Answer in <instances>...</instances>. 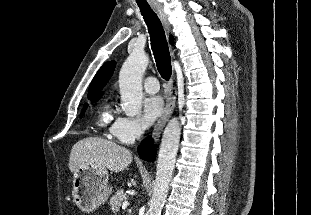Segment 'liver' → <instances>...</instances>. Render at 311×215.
<instances>
[{
  "mask_svg": "<svg viewBox=\"0 0 311 215\" xmlns=\"http://www.w3.org/2000/svg\"><path fill=\"white\" fill-rule=\"evenodd\" d=\"M130 150L99 137H87L71 149L69 169L72 173L80 166H95L113 172L123 171L131 162Z\"/></svg>",
  "mask_w": 311,
  "mask_h": 215,
  "instance_id": "obj_1",
  "label": "liver"
}]
</instances>
